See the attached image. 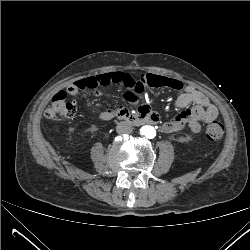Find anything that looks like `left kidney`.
Segmentation results:
<instances>
[{"instance_id":"1","label":"left kidney","mask_w":250,"mask_h":250,"mask_svg":"<svg viewBox=\"0 0 250 250\" xmlns=\"http://www.w3.org/2000/svg\"><path fill=\"white\" fill-rule=\"evenodd\" d=\"M180 141H181V142H186L187 140H186L185 137H181V138H180Z\"/></svg>"}]
</instances>
